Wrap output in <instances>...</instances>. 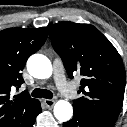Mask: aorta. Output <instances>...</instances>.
<instances>
[{
  "label": "aorta",
  "mask_w": 127,
  "mask_h": 127,
  "mask_svg": "<svg viewBox=\"0 0 127 127\" xmlns=\"http://www.w3.org/2000/svg\"><path fill=\"white\" fill-rule=\"evenodd\" d=\"M27 70L35 78L46 79L52 74V65L46 56L33 54L27 61ZM54 115L60 122L69 121L73 116V107L68 101L59 100L54 106Z\"/></svg>",
  "instance_id": "1"
}]
</instances>
